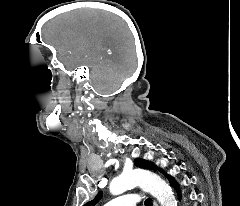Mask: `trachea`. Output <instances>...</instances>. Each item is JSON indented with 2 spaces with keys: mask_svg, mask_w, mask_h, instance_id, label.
<instances>
[{
  "mask_svg": "<svg viewBox=\"0 0 240 206\" xmlns=\"http://www.w3.org/2000/svg\"><path fill=\"white\" fill-rule=\"evenodd\" d=\"M145 206H152L150 199L145 200Z\"/></svg>",
  "mask_w": 240,
  "mask_h": 206,
  "instance_id": "1",
  "label": "trachea"
}]
</instances>
